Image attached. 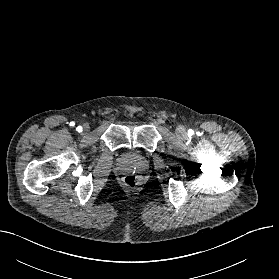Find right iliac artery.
Returning <instances> with one entry per match:
<instances>
[{
  "instance_id": "right-iliac-artery-1",
  "label": "right iliac artery",
  "mask_w": 279,
  "mask_h": 279,
  "mask_svg": "<svg viewBox=\"0 0 279 279\" xmlns=\"http://www.w3.org/2000/svg\"><path fill=\"white\" fill-rule=\"evenodd\" d=\"M77 130H78V132H81V131H82V127H81V126H78V127H77Z\"/></svg>"
}]
</instances>
